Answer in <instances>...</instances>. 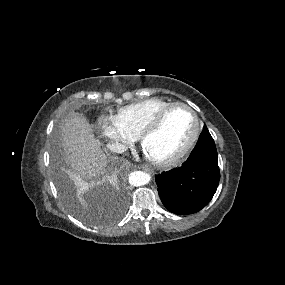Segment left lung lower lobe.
<instances>
[{
	"label": "left lung lower lobe",
	"mask_w": 285,
	"mask_h": 285,
	"mask_svg": "<svg viewBox=\"0 0 285 285\" xmlns=\"http://www.w3.org/2000/svg\"><path fill=\"white\" fill-rule=\"evenodd\" d=\"M164 206L175 214H192L204 208L214 196L220 171L216 146L204 129L191 155L179 168L155 176Z\"/></svg>",
	"instance_id": "1"
}]
</instances>
